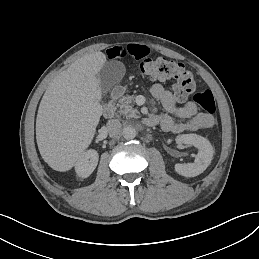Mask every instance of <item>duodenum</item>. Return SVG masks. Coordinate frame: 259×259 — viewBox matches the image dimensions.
Listing matches in <instances>:
<instances>
[{"label":"duodenum","mask_w":259,"mask_h":259,"mask_svg":"<svg viewBox=\"0 0 259 259\" xmlns=\"http://www.w3.org/2000/svg\"><path fill=\"white\" fill-rule=\"evenodd\" d=\"M123 88L122 87H116L112 91L111 99L104 103L103 105V115L106 118H111L114 115L115 112V101L122 95ZM143 123L147 126H154L157 124V119L155 117H146L143 119Z\"/></svg>","instance_id":"obj_1"}]
</instances>
